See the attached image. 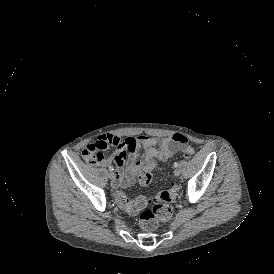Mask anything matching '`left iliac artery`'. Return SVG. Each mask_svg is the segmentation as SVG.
Returning <instances> with one entry per match:
<instances>
[{"label": "left iliac artery", "instance_id": "left-iliac-artery-1", "mask_svg": "<svg viewBox=\"0 0 274 274\" xmlns=\"http://www.w3.org/2000/svg\"><path fill=\"white\" fill-rule=\"evenodd\" d=\"M173 166L176 168V167L179 166V163H178V162H175Z\"/></svg>", "mask_w": 274, "mask_h": 274}]
</instances>
